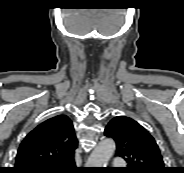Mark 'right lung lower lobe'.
<instances>
[{
	"label": "right lung lower lobe",
	"mask_w": 184,
	"mask_h": 173,
	"mask_svg": "<svg viewBox=\"0 0 184 173\" xmlns=\"http://www.w3.org/2000/svg\"><path fill=\"white\" fill-rule=\"evenodd\" d=\"M81 172H82V170L77 168L75 166V162L72 161V162L58 168L57 170L51 171L49 173H81Z\"/></svg>",
	"instance_id": "1"
}]
</instances>
